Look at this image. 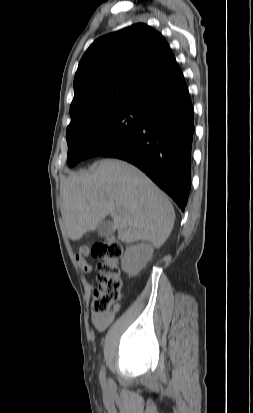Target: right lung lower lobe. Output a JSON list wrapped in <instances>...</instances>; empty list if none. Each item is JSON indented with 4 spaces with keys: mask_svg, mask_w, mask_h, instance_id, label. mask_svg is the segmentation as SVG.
Here are the masks:
<instances>
[{
    "mask_svg": "<svg viewBox=\"0 0 253 413\" xmlns=\"http://www.w3.org/2000/svg\"><path fill=\"white\" fill-rule=\"evenodd\" d=\"M193 135V105L188 93L180 100L150 105L142 126L101 155L140 168L184 211L190 191Z\"/></svg>",
    "mask_w": 253,
    "mask_h": 413,
    "instance_id": "98d812e1",
    "label": "right lung lower lobe"
}]
</instances>
